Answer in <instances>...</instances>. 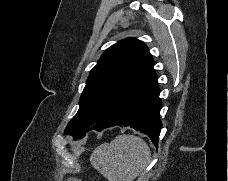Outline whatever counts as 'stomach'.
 <instances>
[{
    "mask_svg": "<svg viewBox=\"0 0 228 181\" xmlns=\"http://www.w3.org/2000/svg\"><path fill=\"white\" fill-rule=\"evenodd\" d=\"M67 181H79V179H73V177H71V179H67Z\"/></svg>",
    "mask_w": 228,
    "mask_h": 181,
    "instance_id": "0dacf381",
    "label": "stomach"
}]
</instances>
